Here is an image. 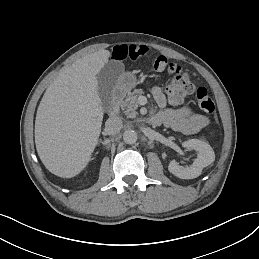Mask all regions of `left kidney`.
<instances>
[{"label":"left kidney","instance_id":"1","mask_svg":"<svg viewBox=\"0 0 259 259\" xmlns=\"http://www.w3.org/2000/svg\"><path fill=\"white\" fill-rule=\"evenodd\" d=\"M182 148L195 150L198 158L193 163L184 168L179 166L175 159H171L168 164V171L181 179H193L198 177L202 170L211 165L215 160L214 151L209 144L196 139H190L182 143Z\"/></svg>","mask_w":259,"mask_h":259}]
</instances>
